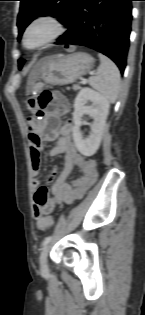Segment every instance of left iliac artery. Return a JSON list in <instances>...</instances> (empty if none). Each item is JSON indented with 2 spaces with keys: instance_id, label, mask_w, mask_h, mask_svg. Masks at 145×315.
Listing matches in <instances>:
<instances>
[{
  "instance_id": "1",
  "label": "left iliac artery",
  "mask_w": 145,
  "mask_h": 315,
  "mask_svg": "<svg viewBox=\"0 0 145 315\" xmlns=\"http://www.w3.org/2000/svg\"><path fill=\"white\" fill-rule=\"evenodd\" d=\"M52 239V236H47L43 241V246H46Z\"/></svg>"
}]
</instances>
